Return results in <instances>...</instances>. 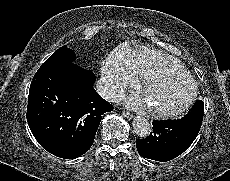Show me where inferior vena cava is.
Segmentation results:
<instances>
[{
    "label": "inferior vena cava",
    "instance_id": "inferior-vena-cava-1",
    "mask_svg": "<svg viewBox=\"0 0 230 181\" xmlns=\"http://www.w3.org/2000/svg\"><path fill=\"white\" fill-rule=\"evenodd\" d=\"M97 93L107 101L115 102L123 95V90L106 78H101L96 83Z\"/></svg>",
    "mask_w": 230,
    "mask_h": 181
}]
</instances>
